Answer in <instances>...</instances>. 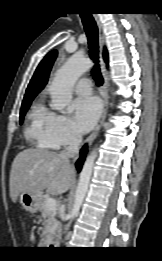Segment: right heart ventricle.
<instances>
[{
	"mask_svg": "<svg viewBox=\"0 0 162 261\" xmlns=\"http://www.w3.org/2000/svg\"><path fill=\"white\" fill-rule=\"evenodd\" d=\"M41 102H37L28 114L27 136L41 148H53L48 134L47 126L52 117Z\"/></svg>",
	"mask_w": 162,
	"mask_h": 261,
	"instance_id": "right-heart-ventricle-1",
	"label": "right heart ventricle"
}]
</instances>
